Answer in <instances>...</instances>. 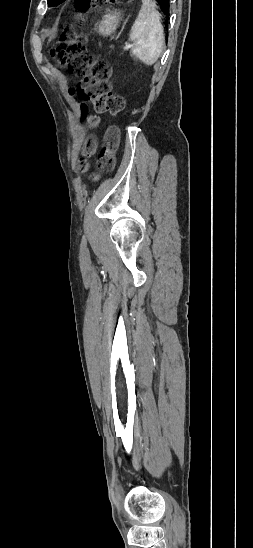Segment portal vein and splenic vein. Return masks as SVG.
<instances>
[{"label":"portal vein and splenic vein","mask_w":253,"mask_h":548,"mask_svg":"<svg viewBox=\"0 0 253 548\" xmlns=\"http://www.w3.org/2000/svg\"><path fill=\"white\" fill-rule=\"evenodd\" d=\"M131 47H133V45L127 44V45H125L124 49H125V50H128V49H130Z\"/></svg>","instance_id":"18ae733b"}]
</instances>
